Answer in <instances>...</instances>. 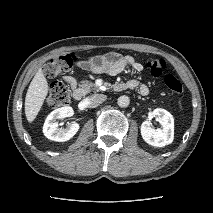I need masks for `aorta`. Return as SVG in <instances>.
Masks as SVG:
<instances>
[{"label":"aorta","instance_id":"762f6f07","mask_svg":"<svg viewBox=\"0 0 213 213\" xmlns=\"http://www.w3.org/2000/svg\"><path fill=\"white\" fill-rule=\"evenodd\" d=\"M117 103L120 107H127L130 103V99L128 96L123 95L118 98Z\"/></svg>","mask_w":213,"mask_h":213}]
</instances>
